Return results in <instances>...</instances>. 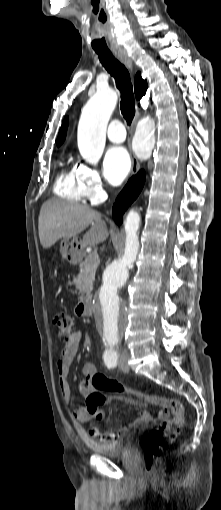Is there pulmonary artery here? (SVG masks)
I'll use <instances>...</instances> for the list:
<instances>
[{"label": "pulmonary artery", "instance_id": "e3ab8cb5", "mask_svg": "<svg viewBox=\"0 0 221 510\" xmlns=\"http://www.w3.org/2000/svg\"><path fill=\"white\" fill-rule=\"evenodd\" d=\"M107 137L111 142H114V143L123 142L126 137V131H125L123 124L118 120L112 121L109 124L108 130H107Z\"/></svg>", "mask_w": 221, "mask_h": 510}]
</instances>
